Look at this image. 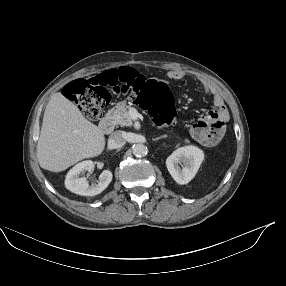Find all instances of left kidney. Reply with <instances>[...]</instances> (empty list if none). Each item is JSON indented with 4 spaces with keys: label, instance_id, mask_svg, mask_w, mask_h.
Returning a JSON list of instances; mask_svg holds the SVG:
<instances>
[{
    "label": "left kidney",
    "instance_id": "1",
    "mask_svg": "<svg viewBox=\"0 0 286 286\" xmlns=\"http://www.w3.org/2000/svg\"><path fill=\"white\" fill-rule=\"evenodd\" d=\"M203 159L204 153L201 149L196 146H185L176 149L166 159V166L173 179L183 185L194 178Z\"/></svg>",
    "mask_w": 286,
    "mask_h": 286
}]
</instances>
